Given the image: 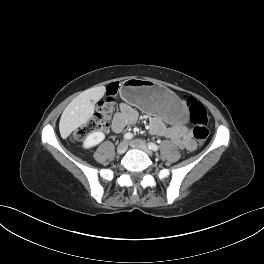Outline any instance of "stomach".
Returning <instances> with one entry per match:
<instances>
[{
    "label": "stomach",
    "mask_w": 264,
    "mask_h": 264,
    "mask_svg": "<svg viewBox=\"0 0 264 264\" xmlns=\"http://www.w3.org/2000/svg\"><path fill=\"white\" fill-rule=\"evenodd\" d=\"M120 94L126 102L161 115L170 126L181 127L189 121V110L178 97L150 79L129 78L122 83Z\"/></svg>",
    "instance_id": "0dacf381"
}]
</instances>
